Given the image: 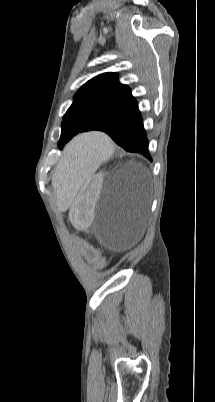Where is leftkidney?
<instances>
[{
    "label": "left kidney",
    "instance_id": "1",
    "mask_svg": "<svg viewBox=\"0 0 215 402\" xmlns=\"http://www.w3.org/2000/svg\"><path fill=\"white\" fill-rule=\"evenodd\" d=\"M106 175V170H98V173L94 174V181L84 184L82 191L76 198V203L73 204L71 209L70 219L76 226L77 232H87L89 230L87 222L92 221V209L95 207L94 200L97 198V193L101 191V178L106 177Z\"/></svg>",
    "mask_w": 215,
    "mask_h": 402
}]
</instances>
